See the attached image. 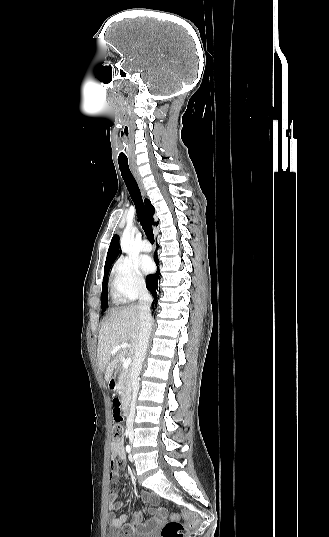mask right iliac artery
Masks as SVG:
<instances>
[{
    "mask_svg": "<svg viewBox=\"0 0 329 537\" xmlns=\"http://www.w3.org/2000/svg\"><path fill=\"white\" fill-rule=\"evenodd\" d=\"M126 451H127L128 453H130V451H131V448H130V446H129V445H127V446H126Z\"/></svg>",
    "mask_w": 329,
    "mask_h": 537,
    "instance_id": "obj_1",
    "label": "right iliac artery"
}]
</instances>
